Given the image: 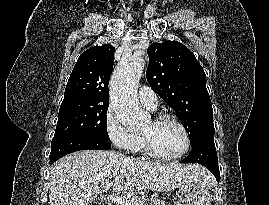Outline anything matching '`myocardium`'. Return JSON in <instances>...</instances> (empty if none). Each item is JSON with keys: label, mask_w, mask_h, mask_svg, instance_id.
<instances>
[{"label": "myocardium", "mask_w": 269, "mask_h": 205, "mask_svg": "<svg viewBox=\"0 0 269 205\" xmlns=\"http://www.w3.org/2000/svg\"><path fill=\"white\" fill-rule=\"evenodd\" d=\"M152 121L154 124H159V123H162L164 121H170V122H173L174 124H176L184 134L185 147L178 154L164 155V154L159 153L152 146L151 142L149 141V139L147 137H145L144 135H141L142 149L148 156L155 158V159H159V160L171 161V160H177L188 153V151L190 150V147H191V137H190V133H189L187 127L180 119H178L176 116L171 115V114L161 113V114H158L156 117H154Z\"/></svg>", "instance_id": "myocardium-1"}]
</instances>
